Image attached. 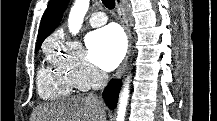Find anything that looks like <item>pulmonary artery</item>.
<instances>
[{"mask_svg": "<svg viewBox=\"0 0 217 121\" xmlns=\"http://www.w3.org/2000/svg\"><path fill=\"white\" fill-rule=\"evenodd\" d=\"M107 20L108 19L105 13L97 11L91 15L89 23L92 27H99L104 25L107 22Z\"/></svg>", "mask_w": 217, "mask_h": 121, "instance_id": "e3ab8cb5", "label": "pulmonary artery"}]
</instances>
